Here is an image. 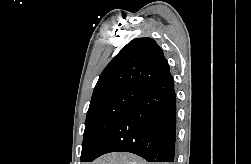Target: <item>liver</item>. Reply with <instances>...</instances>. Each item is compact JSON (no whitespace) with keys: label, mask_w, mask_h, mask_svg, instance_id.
Segmentation results:
<instances>
[{"label":"liver","mask_w":251,"mask_h":164,"mask_svg":"<svg viewBox=\"0 0 251 164\" xmlns=\"http://www.w3.org/2000/svg\"><path fill=\"white\" fill-rule=\"evenodd\" d=\"M92 164H148L140 157L130 153H110L94 161Z\"/></svg>","instance_id":"obj_1"}]
</instances>
